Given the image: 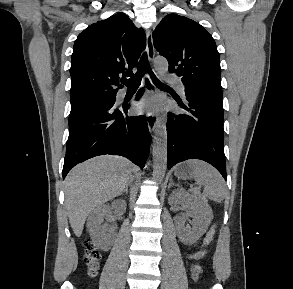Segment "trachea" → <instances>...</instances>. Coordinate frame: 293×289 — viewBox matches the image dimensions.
Masks as SVG:
<instances>
[{
	"label": "trachea",
	"mask_w": 293,
	"mask_h": 289,
	"mask_svg": "<svg viewBox=\"0 0 293 289\" xmlns=\"http://www.w3.org/2000/svg\"><path fill=\"white\" fill-rule=\"evenodd\" d=\"M145 72L150 74L152 81L156 86H166L165 84L160 82L158 80V78L152 73V70L150 68L146 53H144L141 56V59L139 61V65H138V70L135 73V75L133 77H131L130 79H123V80H121V82L124 85H126L127 87L139 86L141 83V79H142L143 75L145 74Z\"/></svg>",
	"instance_id": "3493384b"
}]
</instances>
